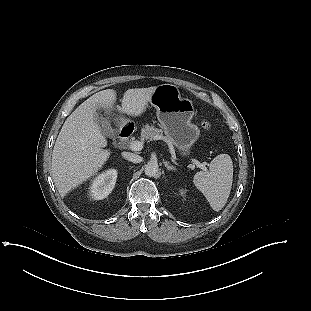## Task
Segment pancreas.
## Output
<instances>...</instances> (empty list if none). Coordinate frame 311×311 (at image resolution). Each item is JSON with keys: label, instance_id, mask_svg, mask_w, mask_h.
<instances>
[{"label": "pancreas", "instance_id": "obj_1", "mask_svg": "<svg viewBox=\"0 0 311 311\" xmlns=\"http://www.w3.org/2000/svg\"><path fill=\"white\" fill-rule=\"evenodd\" d=\"M141 138L145 140L164 139L169 143L166 137L163 136L162 131L153 126L146 125L141 131Z\"/></svg>", "mask_w": 311, "mask_h": 311}]
</instances>
